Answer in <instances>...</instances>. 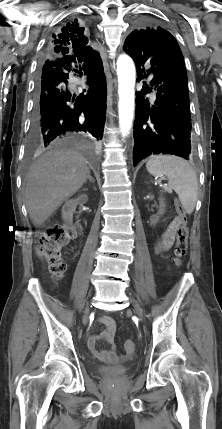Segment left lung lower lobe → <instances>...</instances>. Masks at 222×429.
<instances>
[{"mask_svg": "<svg viewBox=\"0 0 222 429\" xmlns=\"http://www.w3.org/2000/svg\"><path fill=\"white\" fill-rule=\"evenodd\" d=\"M162 37L155 46L136 42L126 51L136 64L137 81L153 73L150 84L156 91L153 105L145 98L152 88L143 86L136 92L134 166L152 154L188 159L191 153L192 125L183 55L169 32Z\"/></svg>", "mask_w": 222, "mask_h": 429, "instance_id": "1", "label": "left lung lower lobe"}]
</instances>
